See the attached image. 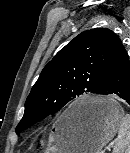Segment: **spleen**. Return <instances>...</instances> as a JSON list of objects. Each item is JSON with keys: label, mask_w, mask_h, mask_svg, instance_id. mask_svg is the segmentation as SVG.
I'll use <instances>...</instances> for the list:
<instances>
[{"label": "spleen", "mask_w": 130, "mask_h": 153, "mask_svg": "<svg viewBox=\"0 0 130 153\" xmlns=\"http://www.w3.org/2000/svg\"><path fill=\"white\" fill-rule=\"evenodd\" d=\"M113 153H130V115H124L119 129Z\"/></svg>", "instance_id": "1"}]
</instances>
